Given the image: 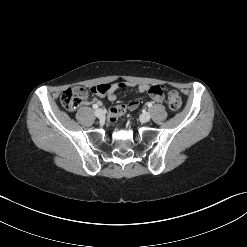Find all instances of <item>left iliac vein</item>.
<instances>
[{"label": "left iliac vein", "instance_id": "4c4485c4", "mask_svg": "<svg viewBox=\"0 0 247 247\" xmlns=\"http://www.w3.org/2000/svg\"><path fill=\"white\" fill-rule=\"evenodd\" d=\"M150 118H151V115H150V113H148V112L143 113V114L141 115V120H142L143 122H148V121L150 120Z\"/></svg>", "mask_w": 247, "mask_h": 247}]
</instances>
